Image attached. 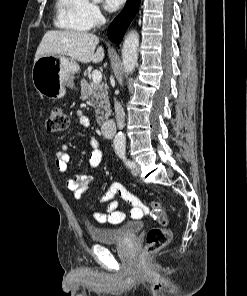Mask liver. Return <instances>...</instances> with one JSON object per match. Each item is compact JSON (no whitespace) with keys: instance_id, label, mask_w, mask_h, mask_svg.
Returning a JSON list of instances; mask_svg holds the SVG:
<instances>
[{"instance_id":"6515ba94","label":"liver","mask_w":247,"mask_h":296,"mask_svg":"<svg viewBox=\"0 0 247 296\" xmlns=\"http://www.w3.org/2000/svg\"><path fill=\"white\" fill-rule=\"evenodd\" d=\"M99 38L87 32L52 30L45 33L39 44L34 61L42 56H68L81 63H99L104 58L102 46H96Z\"/></svg>"}]
</instances>
